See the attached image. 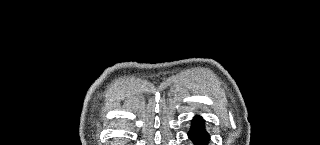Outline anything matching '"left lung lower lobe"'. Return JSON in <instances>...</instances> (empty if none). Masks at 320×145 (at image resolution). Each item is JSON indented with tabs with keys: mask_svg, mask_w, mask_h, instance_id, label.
<instances>
[{
	"mask_svg": "<svg viewBox=\"0 0 320 145\" xmlns=\"http://www.w3.org/2000/svg\"><path fill=\"white\" fill-rule=\"evenodd\" d=\"M188 136L196 145H205L208 142L209 135L205 131L204 120L200 116L193 119Z\"/></svg>",
	"mask_w": 320,
	"mask_h": 145,
	"instance_id": "1",
	"label": "left lung lower lobe"
}]
</instances>
